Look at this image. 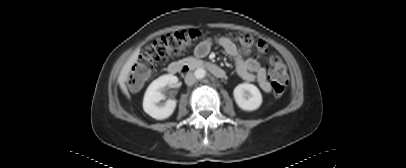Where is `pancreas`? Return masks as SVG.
I'll return each instance as SVG.
<instances>
[{
    "mask_svg": "<svg viewBox=\"0 0 406 168\" xmlns=\"http://www.w3.org/2000/svg\"><path fill=\"white\" fill-rule=\"evenodd\" d=\"M183 61L186 62L187 64H189L190 66H195L196 64L199 63V60H197L193 57L185 58Z\"/></svg>",
    "mask_w": 406,
    "mask_h": 168,
    "instance_id": "1",
    "label": "pancreas"
}]
</instances>
